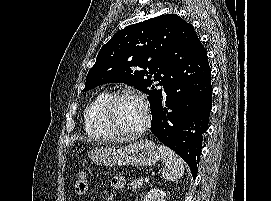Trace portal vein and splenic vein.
<instances>
[{"mask_svg":"<svg viewBox=\"0 0 271 201\" xmlns=\"http://www.w3.org/2000/svg\"><path fill=\"white\" fill-rule=\"evenodd\" d=\"M144 181H145V182H149V178H148V177H145V178H144Z\"/></svg>","mask_w":271,"mask_h":201,"instance_id":"18ae733b","label":"portal vein and splenic vein"}]
</instances>
